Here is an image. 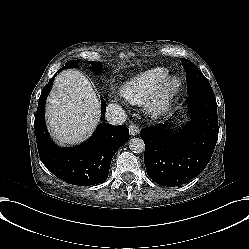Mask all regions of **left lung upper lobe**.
Listing matches in <instances>:
<instances>
[{
    "mask_svg": "<svg viewBox=\"0 0 249 249\" xmlns=\"http://www.w3.org/2000/svg\"><path fill=\"white\" fill-rule=\"evenodd\" d=\"M181 61L187 71V91L189 94L198 91L213 92L208 80L194 63L184 58H181Z\"/></svg>",
    "mask_w": 249,
    "mask_h": 249,
    "instance_id": "1",
    "label": "left lung upper lobe"
}]
</instances>
